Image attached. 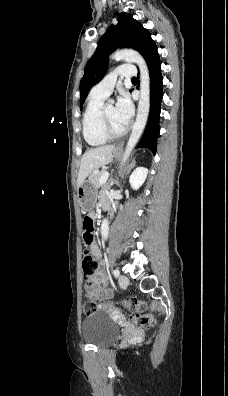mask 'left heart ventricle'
Segmentation results:
<instances>
[{"instance_id":"b2bd125f","label":"left heart ventricle","mask_w":228,"mask_h":396,"mask_svg":"<svg viewBox=\"0 0 228 396\" xmlns=\"http://www.w3.org/2000/svg\"><path fill=\"white\" fill-rule=\"evenodd\" d=\"M105 110L111 128L115 131L122 130L125 126L118 121L115 106L113 104H107Z\"/></svg>"}]
</instances>
